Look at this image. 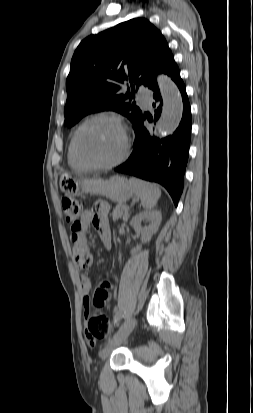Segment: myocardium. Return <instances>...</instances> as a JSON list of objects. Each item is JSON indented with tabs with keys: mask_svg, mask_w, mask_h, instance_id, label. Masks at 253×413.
<instances>
[{
	"mask_svg": "<svg viewBox=\"0 0 253 413\" xmlns=\"http://www.w3.org/2000/svg\"><path fill=\"white\" fill-rule=\"evenodd\" d=\"M98 120H107V121H111L117 124L122 132L123 139H124V147H123L122 153L115 160L106 162V163H96V162H92L88 160L86 157H84L80 149L79 139H80V135L82 131L90 123L98 121ZM73 145H74V152H75L76 157L85 167L90 168V169H110V168H113L121 164L127 158L129 154V150H130V138H129L126 125L118 116L106 114V113H100V114H96V115L89 117L88 119H86L84 122H82L79 125V127L76 129L74 133Z\"/></svg>",
	"mask_w": 253,
	"mask_h": 413,
	"instance_id": "obj_1",
	"label": "myocardium"
}]
</instances>
